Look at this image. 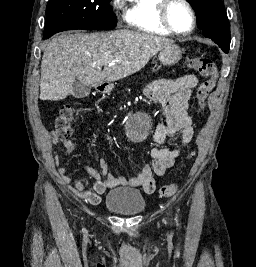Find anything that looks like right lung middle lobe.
Returning <instances> with one entry per match:
<instances>
[{
    "mask_svg": "<svg viewBox=\"0 0 256 267\" xmlns=\"http://www.w3.org/2000/svg\"><path fill=\"white\" fill-rule=\"evenodd\" d=\"M111 0H49L44 38L65 30H109L116 26Z\"/></svg>",
    "mask_w": 256,
    "mask_h": 267,
    "instance_id": "dd1d6c3e",
    "label": "right lung middle lobe"
}]
</instances>
